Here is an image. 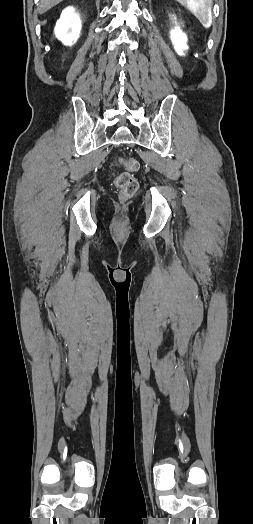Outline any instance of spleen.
I'll list each match as a JSON object with an SVG mask.
<instances>
[{
  "label": "spleen",
  "mask_w": 253,
  "mask_h": 524,
  "mask_svg": "<svg viewBox=\"0 0 253 524\" xmlns=\"http://www.w3.org/2000/svg\"><path fill=\"white\" fill-rule=\"evenodd\" d=\"M181 5L191 11L205 28L212 25V16L208 8V0H177Z\"/></svg>",
  "instance_id": "spleen-1"
}]
</instances>
